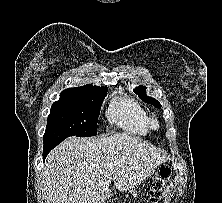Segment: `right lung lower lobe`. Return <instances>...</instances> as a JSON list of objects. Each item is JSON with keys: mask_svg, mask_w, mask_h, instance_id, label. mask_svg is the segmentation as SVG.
Returning a JSON list of instances; mask_svg holds the SVG:
<instances>
[{"mask_svg": "<svg viewBox=\"0 0 222 203\" xmlns=\"http://www.w3.org/2000/svg\"><path fill=\"white\" fill-rule=\"evenodd\" d=\"M60 141H50V142H44V148H43V160H45V157L48 155V153L58 144Z\"/></svg>", "mask_w": 222, "mask_h": 203, "instance_id": "1", "label": "right lung lower lobe"}]
</instances>
